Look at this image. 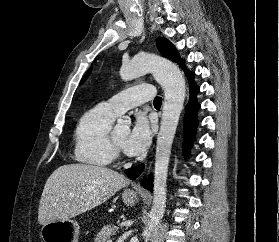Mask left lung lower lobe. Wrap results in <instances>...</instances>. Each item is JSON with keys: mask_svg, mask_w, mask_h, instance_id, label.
Here are the masks:
<instances>
[{"mask_svg": "<svg viewBox=\"0 0 279 242\" xmlns=\"http://www.w3.org/2000/svg\"><path fill=\"white\" fill-rule=\"evenodd\" d=\"M185 73L190 82L189 86H190V95H191L189 103L186 106V113L184 117V134L186 138L185 145H189L190 138L193 136L196 127L198 125L196 115L200 106L197 103L196 95L199 92V87L194 83L193 80L194 73L187 70H185ZM143 169H144V165L140 164L138 166L125 170V173L128 177L134 179L137 178L142 173ZM141 185L150 191L153 190L151 178L149 180L147 178H144L141 182Z\"/></svg>", "mask_w": 279, "mask_h": 242, "instance_id": "1", "label": "left lung lower lobe"}]
</instances>
